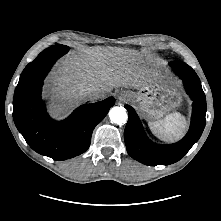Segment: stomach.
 <instances>
[{
    "instance_id": "1",
    "label": "stomach",
    "mask_w": 221,
    "mask_h": 221,
    "mask_svg": "<svg viewBox=\"0 0 221 221\" xmlns=\"http://www.w3.org/2000/svg\"><path fill=\"white\" fill-rule=\"evenodd\" d=\"M131 101L136 103L144 117L158 120L166 113L179 107L182 96L179 85L173 81L155 80L130 92Z\"/></svg>"
}]
</instances>
